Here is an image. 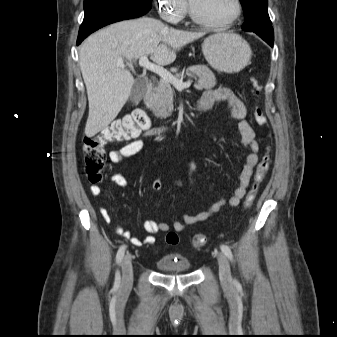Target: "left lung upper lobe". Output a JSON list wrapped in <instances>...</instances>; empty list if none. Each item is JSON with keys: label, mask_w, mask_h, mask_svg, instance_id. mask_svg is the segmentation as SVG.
Instances as JSON below:
<instances>
[{"label": "left lung upper lobe", "mask_w": 337, "mask_h": 337, "mask_svg": "<svg viewBox=\"0 0 337 337\" xmlns=\"http://www.w3.org/2000/svg\"><path fill=\"white\" fill-rule=\"evenodd\" d=\"M240 2L245 15L243 30L274 35L267 11L268 0H240Z\"/></svg>", "instance_id": "1"}]
</instances>
